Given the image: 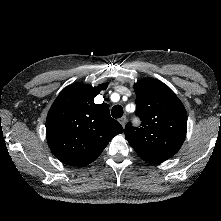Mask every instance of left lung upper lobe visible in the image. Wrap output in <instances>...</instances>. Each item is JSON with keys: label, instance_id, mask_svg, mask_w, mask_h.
I'll return each instance as SVG.
<instances>
[{"label": "left lung upper lobe", "instance_id": "left-lung-upper-lobe-1", "mask_svg": "<svg viewBox=\"0 0 221 221\" xmlns=\"http://www.w3.org/2000/svg\"><path fill=\"white\" fill-rule=\"evenodd\" d=\"M136 114L141 126L128 123L125 137L144 161L163 162L175 155L182 146L187 131L186 110L164 83L156 79H142L134 85Z\"/></svg>", "mask_w": 221, "mask_h": 221}]
</instances>
